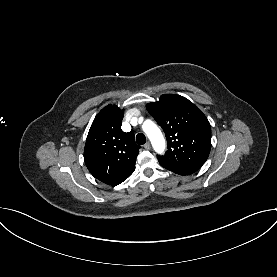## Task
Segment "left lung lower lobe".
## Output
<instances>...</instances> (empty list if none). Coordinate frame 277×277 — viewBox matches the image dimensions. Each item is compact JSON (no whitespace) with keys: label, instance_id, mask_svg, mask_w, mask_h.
Wrapping results in <instances>:
<instances>
[{"label":"left lung lower lobe","instance_id":"left-lung-lower-lobe-1","mask_svg":"<svg viewBox=\"0 0 277 277\" xmlns=\"http://www.w3.org/2000/svg\"><path fill=\"white\" fill-rule=\"evenodd\" d=\"M173 172L179 175H189L194 173L193 171H185V170H175Z\"/></svg>","mask_w":277,"mask_h":277}]
</instances>
